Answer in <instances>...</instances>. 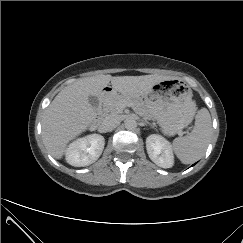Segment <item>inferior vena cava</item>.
Returning <instances> with one entry per match:
<instances>
[{
  "label": "inferior vena cava",
  "mask_w": 243,
  "mask_h": 243,
  "mask_svg": "<svg viewBox=\"0 0 243 243\" xmlns=\"http://www.w3.org/2000/svg\"><path fill=\"white\" fill-rule=\"evenodd\" d=\"M119 123L120 121L117 116L107 115L105 118H103L100 127L103 131L109 132L116 128Z\"/></svg>",
  "instance_id": "inferior-vena-cava-1"
}]
</instances>
